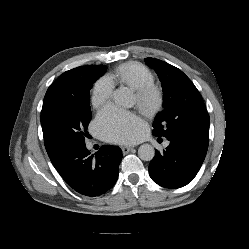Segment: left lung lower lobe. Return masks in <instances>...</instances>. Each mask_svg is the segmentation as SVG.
I'll return each instance as SVG.
<instances>
[{
  "label": "left lung lower lobe",
  "instance_id": "obj_1",
  "mask_svg": "<svg viewBox=\"0 0 249 249\" xmlns=\"http://www.w3.org/2000/svg\"><path fill=\"white\" fill-rule=\"evenodd\" d=\"M162 153L155 150V157L148 167L154 182L165 188L187 185L199 171L208 149V143L194 140H169Z\"/></svg>",
  "mask_w": 249,
  "mask_h": 249
}]
</instances>
